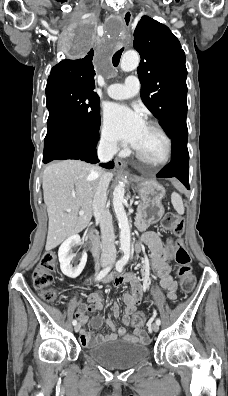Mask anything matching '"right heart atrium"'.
Here are the masks:
<instances>
[{
  "mask_svg": "<svg viewBox=\"0 0 228 396\" xmlns=\"http://www.w3.org/2000/svg\"><path fill=\"white\" fill-rule=\"evenodd\" d=\"M100 140H101V144L102 146L109 150V151H116L118 148L117 142L115 141V139L112 137V135L110 134V132L108 131V129L103 126L101 128V132H100Z\"/></svg>",
  "mask_w": 228,
  "mask_h": 396,
  "instance_id": "d8ad5b80",
  "label": "right heart atrium"
}]
</instances>
